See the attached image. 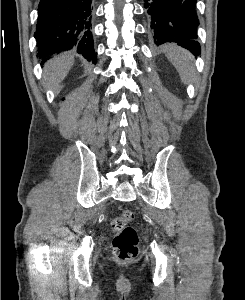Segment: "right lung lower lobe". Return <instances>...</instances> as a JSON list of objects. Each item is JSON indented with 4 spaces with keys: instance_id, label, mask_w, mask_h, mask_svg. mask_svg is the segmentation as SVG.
<instances>
[{
    "instance_id": "1",
    "label": "right lung lower lobe",
    "mask_w": 245,
    "mask_h": 300,
    "mask_svg": "<svg viewBox=\"0 0 245 300\" xmlns=\"http://www.w3.org/2000/svg\"><path fill=\"white\" fill-rule=\"evenodd\" d=\"M92 29L91 0H40L37 39L39 58L76 50L96 62Z\"/></svg>"
}]
</instances>
